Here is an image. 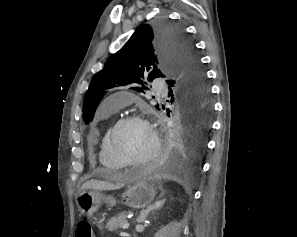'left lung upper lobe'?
I'll return each instance as SVG.
<instances>
[{
    "instance_id": "1",
    "label": "left lung upper lobe",
    "mask_w": 297,
    "mask_h": 237,
    "mask_svg": "<svg viewBox=\"0 0 297 237\" xmlns=\"http://www.w3.org/2000/svg\"><path fill=\"white\" fill-rule=\"evenodd\" d=\"M168 78L167 84L178 97L196 105L210 103L204 72L191 42L182 29L167 22L141 25L121 50L112 55L105 67L94 75L83 104V119L88 124L106 90L137 85L144 92L145 79Z\"/></svg>"
}]
</instances>
